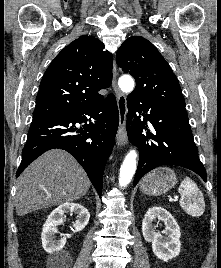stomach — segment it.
I'll use <instances>...</instances> for the list:
<instances>
[{
	"instance_id": "stomach-1",
	"label": "stomach",
	"mask_w": 221,
	"mask_h": 268,
	"mask_svg": "<svg viewBox=\"0 0 221 268\" xmlns=\"http://www.w3.org/2000/svg\"><path fill=\"white\" fill-rule=\"evenodd\" d=\"M177 178L169 167H160L147 174L140 183V190L147 195H161L169 191Z\"/></svg>"
}]
</instances>
